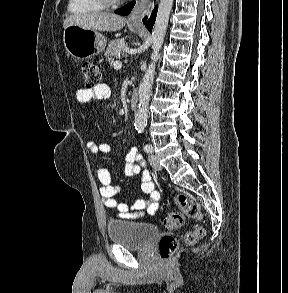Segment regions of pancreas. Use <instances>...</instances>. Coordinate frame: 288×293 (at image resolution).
Instances as JSON below:
<instances>
[{"label": "pancreas", "mask_w": 288, "mask_h": 293, "mask_svg": "<svg viewBox=\"0 0 288 293\" xmlns=\"http://www.w3.org/2000/svg\"><path fill=\"white\" fill-rule=\"evenodd\" d=\"M125 48L126 46L123 39L112 40L105 51V57L108 58L110 63H113L115 58L123 56Z\"/></svg>", "instance_id": "obj_1"}]
</instances>
